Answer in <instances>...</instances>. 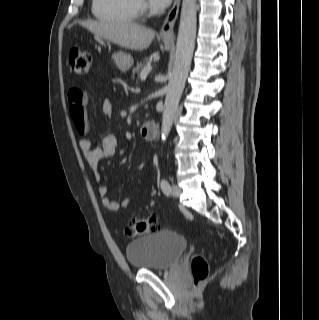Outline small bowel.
<instances>
[{
	"instance_id": "small-bowel-1",
	"label": "small bowel",
	"mask_w": 319,
	"mask_h": 320,
	"mask_svg": "<svg viewBox=\"0 0 319 320\" xmlns=\"http://www.w3.org/2000/svg\"><path fill=\"white\" fill-rule=\"evenodd\" d=\"M87 94L79 89L72 88L68 94L69 110L75 127L82 125L85 131L88 129L87 121ZM102 112L106 116L113 113V104L110 99H105L102 103ZM79 148L87 165L95 172V177L100 180L98 166L101 160L114 156L118 150V141L114 135H105L100 144L93 147L90 140L82 138L79 141ZM144 169V166H142ZM98 194L101 199L102 206L108 211H117L126 208L130 204L129 198L121 201H115L108 197L107 188L103 185L99 186Z\"/></svg>"
}]
</instances>
